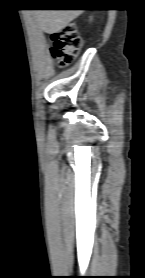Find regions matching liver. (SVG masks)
Wrapping results in <instances>:
<instances>
[{"mask_svg":"<svg viewBox=\"0 0 145 278\" xmlns=\"http://www.w3.org/2000/svg\"><path fill=\"white\" fill-rule=\"evenodd\" d=\"M37 26L48 34L64 29L68 23L77 18L82 10H34Z\"/></svg>","mask_w":145,"mask_h":278,"instance_id":"obj_1","label":"liver"}]
</instances>
